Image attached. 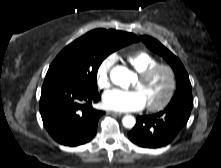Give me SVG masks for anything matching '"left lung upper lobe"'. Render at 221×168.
<instances>
[{
    "label": "left lung upper lobe",
    "instance_id": "5c2ea615",
    "mask_svg": "<svg viewBox=\"0 0 221 168\" xmlns=\"http://www.w3.org/2000/svg\"><path fill=\"white\" fill-rule=\"evenodd\" d=\"M140 39L151 51L162 56L169 63L175 73L177 88L169 105L177 103L193 104L189 76L179 58L152 37L141 36Z\"/></svg>",
    "mask_w": 221,
    "mask_h": 168
}]
</instances>
